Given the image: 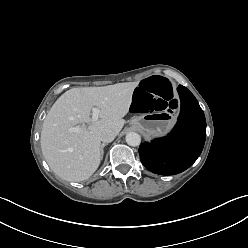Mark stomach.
<instances>
[{"label":"stomach","instance_id":"obj_1","mask_svg":"<svg viewBox=\"0 0 248 248\" xmlns=\"http://www.w3.org/2000/svg\"><path fill=\"white\" fill-rule=\"evenodd\" d=\"M177 116L174 112H145L131 119V124L140 129L145 136L155 137L165 134L175 123Z\"/></svg>","mask_w":248,"mask_h":248}]
</instances>
